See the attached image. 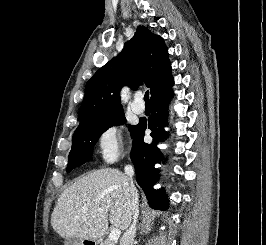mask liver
<instances>
[{"mask_svg":"<svg viewBox=\"0 0 266 245\" xmlns=\"http://www.w3.org/2000/svg\"><path fill=\"white\" fill-rule=\"evenodd\" d=\"M131 203L129 177L118 169H99L63 189L51 225L62 239L98 241L108 231V217L114 229L130 227Z\"/></svg>","mask_w":266,"mask_h":245,"instance_id":"liver-1","label":"liver"}]
</instances>
